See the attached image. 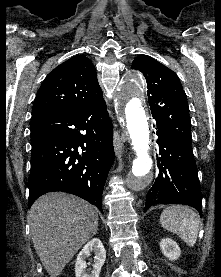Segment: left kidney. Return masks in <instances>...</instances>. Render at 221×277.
<instances>
[{"mask_svg":"<svg viewBox=\"0 0 221 277\" xmlns=\"http://www.w3.org/2000/svg\"><path fill=\"white\" fill-rule=\"evenodd\" d=\"M160 248L164 256L170 260H177L181 255L178 244L171 238H164L160 242Z\"/></svg>","mask_w":221,"mask_h":277,"instance_id":"5707ae66","label":"left kidney"}]
</instances>
